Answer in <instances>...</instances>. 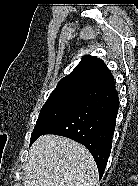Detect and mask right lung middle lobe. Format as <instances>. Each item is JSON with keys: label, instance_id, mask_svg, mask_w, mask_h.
<instances>
[{"label": "right lung middle lobe", "instance_id": "obj_1", "mask_svg": "<svg viewBox=\"0 0 138 186\" xmlns=\"http://www.w3.org/2000/svg\"><path fill=\"white\" fill-rule=\"evenodd\" d=\"M92 90L83 87H67L54 90L42 107L31 134L32 144L54 124L88 101Z\"/></svg>", "mask_w": 138, "mask_h": 186}]
</instances>
